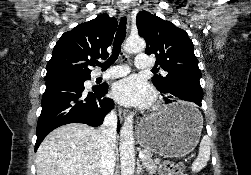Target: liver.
<instances>
[{"label": "liver", "instance_id": "obj_1", "mask_svg": "<svg viewBox=\"0 0 251 175\" xmlns=\"http://www.w3.org/2000/svg\"><path fill=\"white\" fill-rule=\"evenodd\" d=\"M100 137L86 123H68L51 131L36 153L37 175H100Z\"/></svg>", "mask_w": 251, "mask_h": 175}]
</instances>
